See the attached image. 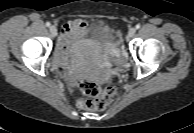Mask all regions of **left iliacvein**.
I'll return each instance as SVG.
<instances>
[{"label": "left iliac vein", "instance_id": "4c4485c4", "mask_svg": "<svg viewBox=\"0 0 194 133\" xmlns=\"http://www.w3.org/2000/svg\"><path fill=\"white\" fill-rule=\"evenodd\" d=\"M136 33V29L135 28H130L128 31V37L132 38Z\"/></svg>", "mask_w": 194, "mask_h": 133}]
</instances>
